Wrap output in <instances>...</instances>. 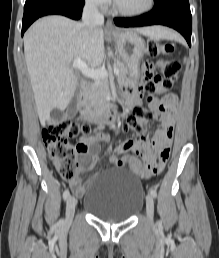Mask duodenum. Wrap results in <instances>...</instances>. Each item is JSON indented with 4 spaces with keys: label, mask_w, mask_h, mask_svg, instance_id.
I'll list each match as a JSON object with an SVG mask.
<instances>
[{
    "label": "duodenum",
    "mask_w": 219,
    "mask_h": 258,
    "mask_svg": "<svg viewBox=\"0 0 219 258\" xmlns=\"http://www.w3.org/2000/svg\"><path fill=\"white\" fill-rule=\"evenodd\" d=\"M88 94V85H83L82 95L86 97ZM117 115L116 107L109 101L105 100L99 104L94 112H89L88 117L93 122L104 124L115 120Z\"/></svg>",
    "instance_id": "410a0bca"
}]
</instances>
